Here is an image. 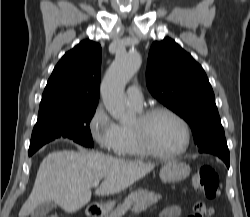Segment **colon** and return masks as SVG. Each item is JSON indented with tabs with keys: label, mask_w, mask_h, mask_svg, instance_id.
Segmentation results:
<instances>
[{
	"label": "colon",
	"mask_w": 250,
	"mask_h": 217,
	"mask_svg": "<svg viewBox=\"0 0 250 217\" xmlns=\"http://www.w3.org/2000/svg\"><path fill=\"white\" fill-rule=\"evenodd\" d=\"M193 188L204 194L209 199H214L219 194V178L216 171L209 165L201 166L192 176ZM194 213L190 217H204L210 209L202 202L193 206ZM56 217V216H51Z\"/></svg>",
	"instance_id": "obj_1"
}]
</instances>
